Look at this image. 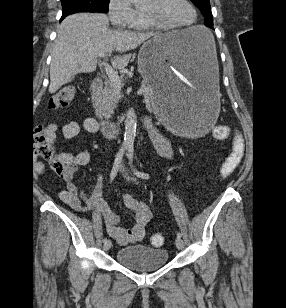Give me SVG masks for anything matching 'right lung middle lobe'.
I'll return each mask as SVG.
<instances>
[{
  "mask_svg": "<svg viewBox=\"0 0 286 308\" xmlns=\"http://www.w3.org/2000/svg\"><path fill=\"white\" fill-rule=\"evenodd\" d=\"M110 0H61L65 17L75 12H108Z\"/></svg>",
  "mask_w": 286,
  "mask_h": 308,
  "instance_id": "dd1d6c3e",
  "label": "right lung middle lobe"
}]
</instances>
